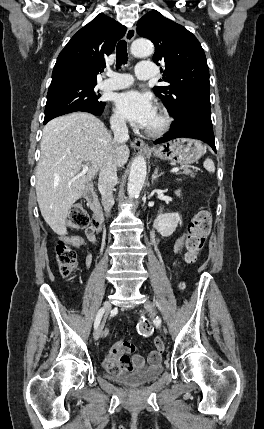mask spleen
Returning <instances> with one entry per match:
<instances>
[{"label": "spleen", "instance_id": "1", "mask_svg": "<svg viewBox=\"0 0 264 429\" xmlns=\"http://www.w3.org/2000/svg\"><path fill=\"white\" fill-rule=\"evenodd\" d=\"M205 169L209 172H214L215 171V165L214 162L210 159L207 158L204 163H203Z\"/></svg>", "mask_w": 264, "mask_h": 429}]
</instances>
